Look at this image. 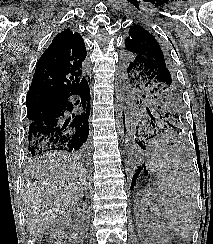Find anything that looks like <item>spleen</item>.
<instances>
[{
	"mask_svg": "<svg viewBox=\"0 0 213 244\" xmlns=\"http://www.w3.org/2000/svg\"><path fill=\"white\" fill-rule=\"evenodd\" d=\"M149 168L156 176L168 227L179 238H189L197 214L198 190L193 173L170 152L152 156Z\"/></svg>",
	"mask_w": 213,
	"mask_h": 244,
	"instance_id": "1",
	"label": "spleen"
}]
</instances>
